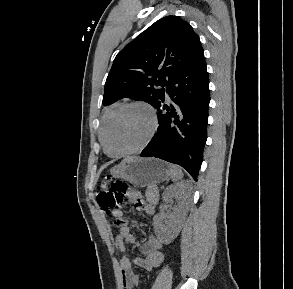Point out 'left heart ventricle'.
<instances>
[{"mask_svg": "<svg viewBox=\"0 0 293 289\" xmlns=\"http://www.w3.org/2000/svg\"><path fill=\"white\" fill-rule=\"evenodd\" d=\"M150 126V116L144 108L133 106L125 109L115 118L110 128L109 150L120 153L136 148L146 138Z\"/></svg>", "mask_w": 293, "mask_h": 289, "instance_id": "1", "label": "left heart ventricle"}]
</instances>
